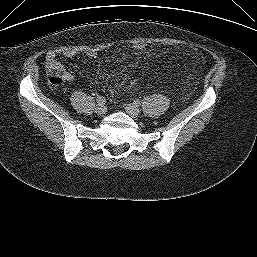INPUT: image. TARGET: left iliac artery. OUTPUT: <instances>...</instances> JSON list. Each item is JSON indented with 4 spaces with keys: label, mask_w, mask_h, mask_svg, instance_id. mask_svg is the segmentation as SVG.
Instances as JSON below:
<instances>
[{
    "label": "left iliac artery",
    "mask_w": 257,
    "mask_h": 257,
    "mask_svg": "<svg viewBox=\"0 0 257 257\" xmlns=\"http://www.w3.org/2000/svg\"><path fill=\"white\" fill-rule=\"evenodd\" d=\"M133 104L136 105V106H140L141 101L139 99H136V100L133 101Z\"/></svg>",
    "instance_id": "left-iliac-artery-1"
}]
</instances>
